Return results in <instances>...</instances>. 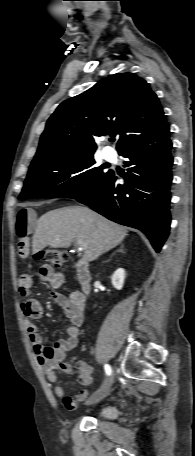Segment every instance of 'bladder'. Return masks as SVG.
<instances>
[{
  "mask_svg": "<svg viewBox=\"0 0 195 456\" xmlns=\"http://www.w3.org/2000/svg\"><path fill=\"white\" fill-rule=\"evenodd\" d=\"M100 417L114 419L118 415V410L114 406H105L99 412Z\"/></svg>",
  "mask_w": 195,
  "mask_h": 456,
  "instance_id": "31cf9c89",
  "label": "bladder"
}]
</instances>
